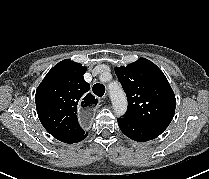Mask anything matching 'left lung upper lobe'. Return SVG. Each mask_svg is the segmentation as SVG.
I'll return each instance as SVG.
<instances>
[{"instance_id":"obj_1","label":"left lung upper lobe","mask_w":209,"mask_h":179,"mask_svg":"<svg viewBox=\"0 0 209 179\" xmlns=\"http://www.w3.org/2000/svg\"><path fill=\"white\" fill-rule=\"evenodd\" d=\"M115 72L128 98L124 118L163 132L176 107L174 92L163 72L145 58L115 68Z\"/></svg>"}]
</instances>
